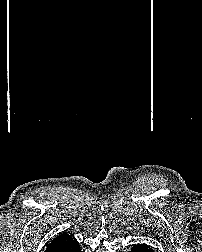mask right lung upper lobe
<instances>
[{
	"label": "right lung upper lobe",
	"mask_w": 202,
	"mask_h": 252,
	"mask_svg": "<svg viewBox=\"0 0 202 252\" xmlns=\"http://www.w3.org/2000/svg\"><path fill=\"white\" fill-rule=\"evenodd\" d=\"M76 243H78L76 239L62 233L51 241L45 252H69Z\"/></svg>",
	"instance_id": "cb5924a9"
}]
</instances>
